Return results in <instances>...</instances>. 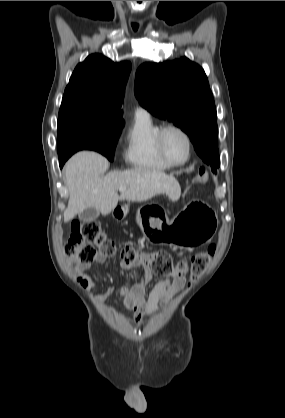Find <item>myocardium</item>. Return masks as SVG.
Here are the masks:
<instances>
[{"mask_svg":"<svg viewBox=\"0 0 285 418\" xmlns=\"http://www.w3.org/2000/svg\"><path fill=\"white\" fill-rule=\"evenodd\" d=\"M170 130H174L179 132L183 138L186 141L187 144V153H186V157L183 161L181 162H173L167 155L165 148H164V144H163V139L165 134L170 131ZM155 144L156 147L158 149L159 154L161 155V157L164 159V161L169 164L170 166H181L186 164L191 156V152H192V141L190 138V135L188 134V132L183 129L182 127H180L179 125L176 124H166L163 125L162 127L159 128L156 136H155Z\"/></svg>","mask_w":285,"mask_h":418,"instance_id":"f54148a6","label":"myocardium"}]
</instances>
